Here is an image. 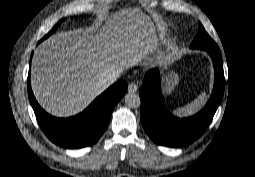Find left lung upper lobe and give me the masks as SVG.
I'll return each instance as SVG.
<instances>
[{
	"mask_svg": "<svg viewBox=\"0 0 255 177\" xmlns=\"http://www.w3.org/2000/svg\"><path fill=\"white\" fill-rule=\"evenodd\" d=\"M191 48L196 49H214L217 48L216 44L206 33L202 25L199 26V33L193 41Z\"/></svg>",
	"mask_w": 255,
	"mask_h": 177,
	"instance_id": "1",
	"label": "left lung upper lobe"
}]
</instances>
